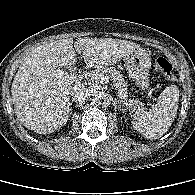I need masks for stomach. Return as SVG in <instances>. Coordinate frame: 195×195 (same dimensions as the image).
<instances>
[{
	"label": "stomach",
	"instance_id": "0dacf381",
	"mask_svg": "<svg viewBox=\"0 0 195 195\" xmlns=\"http://www.w3.org/2000/svg\"><path fill=\"white\" fill-rule=\"evenodd\" d=\"M150 54L144 49H136L125 58V68L128 76L141 88L149 86Z\"/></svg>",
	"mask_w": 195,
	"mask_h": 195
}]
</instances>
